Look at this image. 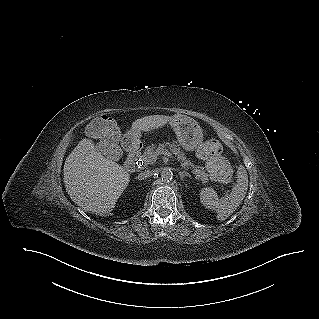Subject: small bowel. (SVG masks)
<instances>
[{
  "label": "small bowel",
  "instance_id": "c3829d8e",
  "mask_svg": "<svg viewBox=\"0 0 319 319\" xmlns=\"http://www.w3.org/2000/svg\"><path fill=\"white\" fill-rule=\"evenodd\" d=\"M198 155H199L200 158L204 159V157L202 156V154H201V152H200V149H199V151H198Z\"/></svg>",
  "mask_w": 319,
  "mask_h": 319
}]
</instances>
